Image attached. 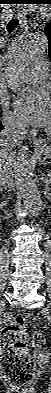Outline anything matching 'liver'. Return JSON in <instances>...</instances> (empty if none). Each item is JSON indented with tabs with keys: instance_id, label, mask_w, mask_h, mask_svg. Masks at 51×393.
Masks as SVG:
<instances>
[{
	"instance_id": "6515ba94",
	"label": "liver",
	"mask_w": 51,
	"mask_h": 393,
	"mask_svg": "<svg viewBox=\"0 0 51 393\" xmlns=\"http://www.w3.org/2000/svg\"><path fill=\"white\" fill-rule=\"evenodd\" d=\"M2 160L5 163H9L12 166L13 170H17L19 167L16 155L13 152L5 151L1 147L0 148V165H1Z\"/></svg>"
}]
</instances>
